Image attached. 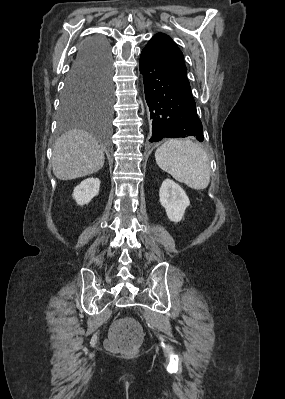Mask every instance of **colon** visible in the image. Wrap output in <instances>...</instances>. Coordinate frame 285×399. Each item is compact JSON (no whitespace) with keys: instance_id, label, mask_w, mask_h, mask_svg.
Segmentation results:
<instances>
[{"instance_id":"5ec220e1","label":"colon","mask_w":285,"mask_h":399,"mask_svg":"<svg viewBox=\"0 0 285 399\" xmlns=\"http://www.w3.org/2000/svg\"><path fill=\"white\" fill-rule=\"evenodd\" d=\"M143 337V330L136 321L121 320L111 328L107 347L114 352L133 353L138 349Z\"/></svg>"}]
</instances>
